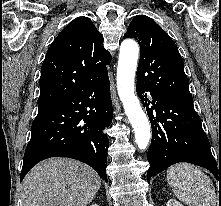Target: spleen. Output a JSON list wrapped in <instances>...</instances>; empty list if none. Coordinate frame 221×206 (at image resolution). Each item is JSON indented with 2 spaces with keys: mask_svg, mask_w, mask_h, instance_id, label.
<instances>
[{
  "mask_svg": "<svg viewBox=\"0 0 221 206\" xmlns=\"http://www.w3.org/2000/svg\"><path fill=\"white\" fill-rule=\"evenodd\" d=\"M167 181L175 196L188 206H216L212 180L198 167L179 163L167 170Z\"/></svg>",
  "mask_w": 221,
  "mask_h": 206,
  "instance_id": "3e777b00",
  "label": "spleen"
}]
</instances>
